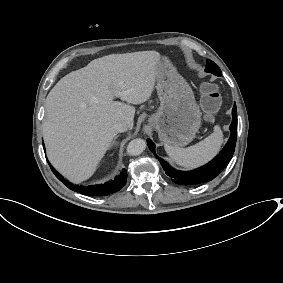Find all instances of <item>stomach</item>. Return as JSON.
I'll return each mask as SVG.
<instances>
[{
    "instance_id": "1",
    "label": "stomach",
    "mask_w": 283,
    "mask_h": 283,
    "mask_svg": "<svg viewBox=\"0 0 283 283\" xmlns=\"http://www.w3.org/2000/svg\"><path fill=\"white\" fill-rule=\"evenodd\" d=\"M155 71L160 107L149 117V125L165 144L185 146L192 141L201 123L194 93L167 57L159 58Z\"/></svg>"
}]
</instances>
